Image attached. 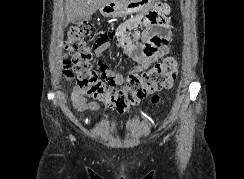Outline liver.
Returning <instances> with one entry per match:
<instances>
[{"instance_id":"obj_1","label":"liver","mask_w":244,"mask_h":179,"mask_svg":"<svg viewBox=\"0 0 244 179\" xmlns=\"http://www.w3.org/2000/svg\"><path fill=\"white\" fill-rule=\"evenodd\" d=\"M107 0H65V12L67 22H72L73 18H87L98 10L99 6L106 4Z\"/></svg>"}]
</instances>
